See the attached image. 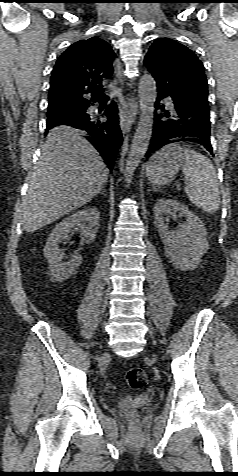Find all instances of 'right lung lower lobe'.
<instances>
[{
  "label": "right lung lower lobe",
  "mask_w": 238,
  "mask_h": 476,
  "mask_svg": "<svg viewBox=\"0 0 238 476\" xmlns=\"http://www.w3.org/2000/svg\"><path fill=\"white\" fill-rule=\"evenodd\" d=\"M105 121L93 115L85 114L67 122L46 124V133L58 125H67L86 131L88 141L99 151L109 169L112 170L118 148L122 143V134L119 127L117 106L113 102L103 112Z\"/></svg>",
  "instance_id": "1"
}]
</instances>
